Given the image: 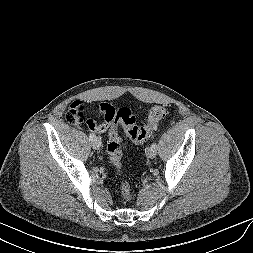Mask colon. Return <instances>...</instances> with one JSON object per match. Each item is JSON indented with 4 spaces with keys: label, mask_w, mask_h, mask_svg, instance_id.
Here are the masks:
<instances>
[{
    "label": "colon",
    "mask_w": 253,
    "mask_h": 253,
    "mask_svg": "<svg viewBox=\"0 0 253 253\" xmlns=\"http://www.w3.org/2000/svg\"><path fill=\"white\" fill-rule=\"evenodd\" d=\"M166 115V109L161 105H154L147 116V120L143 125H137L132 112L121 107L114 110L113 125L108 134L107 153L110 163L120 172L122 169V152L120 137L118 134V126L121 125L131 141L134 143L145 142L156 129L157 124ZM66 119L71 124H92L91 118L87 117L84 106L75 102L70 105L66 113ZM120 195L123 200L129 201L132 198V192L129 182L122 179L120 183Z\"/></svg>",
    "instance_id": "colon-1"
}]
</instances>
